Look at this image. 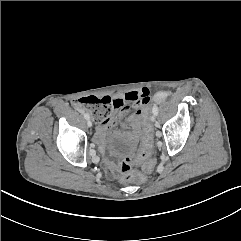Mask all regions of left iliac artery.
Returning a JSON list of instances; mask_svg holds the SVG:
<instances>
[{
  "instance_id": "44dca946",
  "label": "left iliac artery",
  "mask_w": 241,
  "mask_h": 241,
  "mask_svg": "<svg viewBox=\"0 0 241 241\" xmlns=\"http://www.w3.org/2000/svg\"><path fill=\"white\" fill-rule=\"evenodd\" d=\"M152 112H153V114H155V115L158 114V107H157V105H154V106H153Z\"/></svg>"
}]
</instances>
